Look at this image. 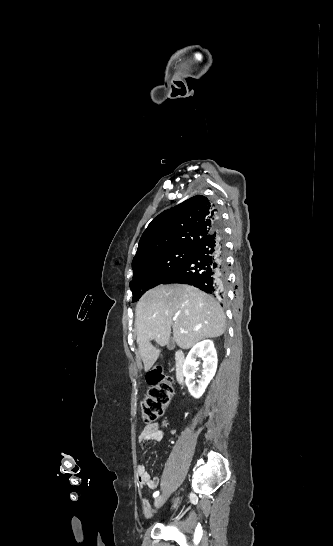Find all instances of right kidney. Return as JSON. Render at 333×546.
Returning <instances> with one entry per match:
<instances>
[{"mask_svg": "<svg viewBox=\"0 0 333 546\" xmlns=\"http://www.w3.org/2000/svg\"><path fill=\"white\" fill-rule=\"evenodd\" d=\"M197 357L203 358V373L201 379L195 383L194 376L197 370ZM217 369V353L214 343L211 340H204L192 347L188 353L182 368V374L185 377V383L190 394L194 398H200L211 379L214 377Z\"/></svg>", "mask_w": 333, "mask_h": 546, "instance_id": "right-kidney-1", "label": "right kidney"}]
</instances>
